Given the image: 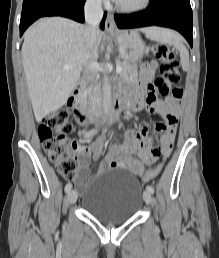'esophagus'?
<instances>
[{"label":"esophagus","instance_id":"1","mask_svg":"<svg viewBox=\"0 0 219 258\" xmlns=\"http://www.w3.org/2000/svg\"><path fill=\"white\" fill-rule=\"evenodd\" d=\"M105 29L108 33H117L119 30L117 28V25L114 21L113 14H108L106 21H105Z\"/></svg>","mask_w":219,"mask_h":258}]
</instances>
